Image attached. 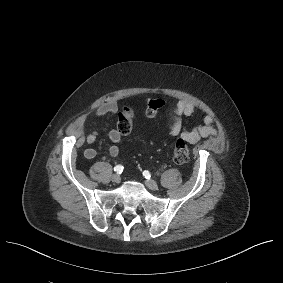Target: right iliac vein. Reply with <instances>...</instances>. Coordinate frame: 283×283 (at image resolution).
Segmentation results:
<instances>
[{
	"label": "right iliac vein",
	"instance_id": "right-iliac-vein-1",
	"mask_svg": "<svg viewBox=\"0 0 283 283\" xmlns=\"http://www.w3.org/2000/svg\"><path fill=\"white\" fill-rule=\"evenodd\" d=\"M112 182H114L115 184H118L120 182V176L115 174L111 177Z\"/></svg>",
	"mask_w": 283,
	"mask_h": 283
}]
</instances>
